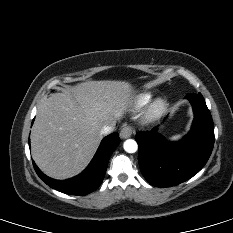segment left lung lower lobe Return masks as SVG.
I'll use <instances>...</instances> for the list:
<instances>
[{"mask_svg": "<svg viewBox=\"0 0 233 233\" xmlns=\"http://www.w3.org/2000/svg\"><path fill=\"white\" fill-rule=\"evenodd\" d=\"M192 103L194 121L190 133L179 143L170 144L152 131H140L139 166L153 186L170 187L196 175L208 161L214 145V125L201 93L186 96Z\"/></svg>", "mask_w": 233, "mask_h": 233, "instance_id": "left-lung-lower-lobe-1", "label": "left lung lower lobe"}]
</instances>
